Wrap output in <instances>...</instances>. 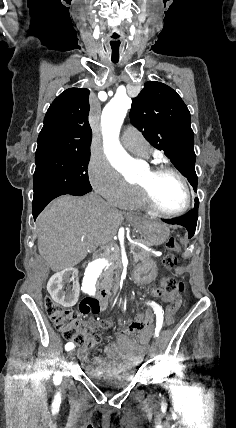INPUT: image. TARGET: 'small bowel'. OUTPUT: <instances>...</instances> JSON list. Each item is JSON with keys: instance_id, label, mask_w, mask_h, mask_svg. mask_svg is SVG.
Returning <instances> with one entry per match:
<instances>
[{"instance_id": "1", "label": "small bowel", "mask_w": 236, "mask_h": 428, "mask_svg": "<svg viewBox=\"0 0 236 428\" xmlns=\"http://www.w3.org/2000/svg\"><path fill=\"white\" fill-rule=\"evenodd\" d=\"M155 296L165 295L161 289H154L152 291ZM170 302H179V297L167 295ZM149 310L141 315L143 325L141 327L134 326L133 324L124 325L120 321V329L117 332L116 340L109 343L105 348V354L109 359L119 361H139L143 358L145 345L151 333V323L154 318L156 310L163 312V308L155 301L148 302ZM107 308L106 303L101 304V309ZM104 327L109 330L111 322H105ZM94 335V334H93ZM95 338L97 337L94 335ZM136 336V339L134 338ZM79 359L84 363H100L98 359H90L86 348H81L79 351Z\"/></svg>"}]
</instances>
